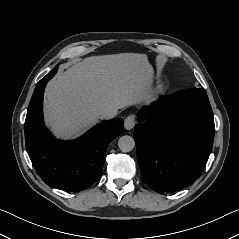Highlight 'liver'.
Returning <instances> with one entry per match:
<instances>
[{"label":"liver","mask_w":239,"mask_h":239,"mask_svg":"<svg viewBox=\"0 0 239 239\" xmlns=\"http://www.w3.org/2000/svg\"><path fill=\"white\" fill-rule=\"evenodd\" d=\"M151 67L144 54L92 56L57 75L45 91V120L61 138L98 122V114L147 100Z\"/></svg>","instance_id":"1"}]
</instances>
